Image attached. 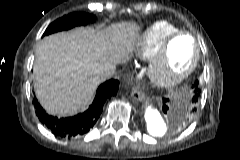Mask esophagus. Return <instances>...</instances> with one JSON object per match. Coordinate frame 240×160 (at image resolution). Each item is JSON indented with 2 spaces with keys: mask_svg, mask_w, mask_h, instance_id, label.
I'll return each instance as SVG.
<instances>
[{
  "mask_svg": "<svg viewBox=\"0 0 240 160\" xmlns=\"http://www.w3.org/2000/svg\"><path fill=\"white\" fill-rule=\"evenodd\" d=\"M131 96L136 101H142L145 97L144 92L142 91V88L140 85H136L131 90Z\"/></svg>",
  "mask_w": 240,
  "mask_h": 160,
  "instance_id": "obj_1",
  "label": "esophagus"
}]
</instances>
